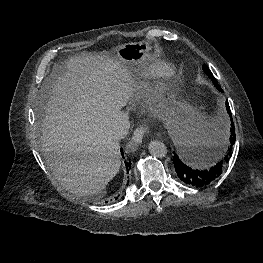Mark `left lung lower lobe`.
Segmentation results:
<instances>
[{
  "label": "left lung lower lobe",
  "instance_id": "obj_1",
  "mask_svg": "<svg viewBox=\"0 0 263 263\" xmlns=\"http://www.w3.org/2000/svg\"><path fill=\"white\" fill-rule=\"evenodd\" d=\"M219 91H222L221 89H218ZM226 108L228 114L231 116V110L229 107L228 100L226 101ZM235 144V127L233 120L231 119V127L229 131V143L227 147L222 152V157L220 160L211 168L206 169H197L193 164L185 159V156H183L180 153H174L173 156V164L175 171L177 173V176L181 181H183L185 184L202 188L206 187L213 182H215L224 171L231 155L233 146ZM189 159L192 160L191 156H189Z\"/></svg>",
  "mask_w": 263,
  "mask_h": 263
}]
</instances>
